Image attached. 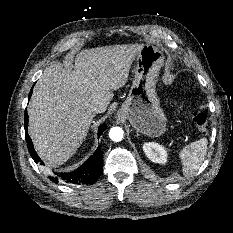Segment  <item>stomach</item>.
Wrapping results in <instances>:
<instances>
[{
    "label": "stomach",
    "instance_id": "0dacf381",
    "mask_svg": "<svg viewBox=\"0 0 233 233\" xmlns=\"http://www.w3.org/2000/svg\"><path fill=\"white\" fill-rule=\"evenodd\" d=\"M163 62L164 54L159 47L151 44L142 46L136 55L132 87L118 112V116L128 120L138 132L153 138L166 132L167 118L155 90Z\"/></svg>",
    "mask_w": 233,
    "mask_h": 233
}]
</instances>
